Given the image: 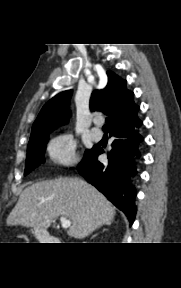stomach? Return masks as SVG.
Segmentation results:
<instances>
[{
    "label": "stomach",
    "mask_w": 181,
    "mask_h": 288,
    "mask_svg": "<svg viewBox=\"0 0 181 288\" xmlns=\"http://www.w3.org/2000/svg\"><path fill=\"white\" fill-rule=\"evenodd\" d=\"M32 232H33V234L36 236V238H37L38 240H40V241H45L44 238L47 236L46 233L37 232L35 229H34ZM42 243H44V242H42Z\"/></svg>",
    "instance_id": "0dacf381"
}]
</instances>
